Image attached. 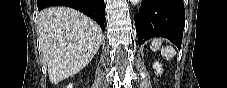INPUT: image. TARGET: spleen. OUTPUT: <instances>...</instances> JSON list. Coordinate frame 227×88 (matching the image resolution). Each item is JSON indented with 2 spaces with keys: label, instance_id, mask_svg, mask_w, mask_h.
Returning a JSON list of instances; mask_svg holds the SVG:
<instances>
[{
  "label": "spleen",
  "instance_id": "obj_1",
  "mask_svg": "<svg viewBox=\"0 0 227 88\" xmlns=\"http://www.w3.org/2000/svg\"><path fill=\"white\" fill-rule=\"evenodd\" d=\"M160 47H161V39H153L150 48L153 51H156ZM161 54L165 58H173L176 55V51L171 46H165L162 48Z\"/></svg>",
  "mask_w": 227,
  "mask_h": 88
}]
</instances>
